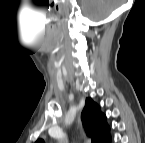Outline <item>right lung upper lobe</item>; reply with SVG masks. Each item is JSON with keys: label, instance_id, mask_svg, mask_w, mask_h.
<instances>
[{"label": "right lung upper lobe", "instance_id": "1", "mask_svg": "<svg viewBox=\"0 0 145 143\" xmlns=\"http://www.w3.org/2000/svg\"><path fill=\"white\" fill-rule=\"evenodd\" d=\"M81 119L87 135L92 143H109V126L106 123V116L101 113L100 107L91 98H86L85 107L81 113ZM44 143L43 140H38Z\"/></svg>", "mask_w": 145, "mask_h": 143}]
</instances>
